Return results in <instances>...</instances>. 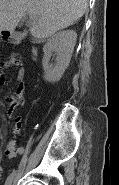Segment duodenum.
Segmentation results:
<instances>
[{"label": "duodenum", "instance_id": "obj_1", "mask_svg": "<svg viewBox=\"0 0 119 185\" xmlns=\"http://www.w3.org/2000/svg\"><path fill=\"white\" fill-rule=\"evenodd\" d=\"M8 36H10L13 40L20 39V36L17 33H10ZM33 54L36 55V49H33Z\"/></svg>", "mask_w": 119, "mask_h": 185}]
</instances>
